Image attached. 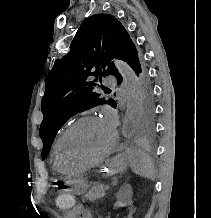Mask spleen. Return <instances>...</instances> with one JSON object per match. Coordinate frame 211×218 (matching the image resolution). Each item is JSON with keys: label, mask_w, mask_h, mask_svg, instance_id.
Masks as SVG:
<instances>
[{"label": "spleen", "mask_w": 211, "mask_h": 218, "mask_svg": "<svg viewBox=\"0 0 211 218\" xmlns=\"http://www.w3.org/2000/svg\"><path fill=\"white\" fill-rule=\"evenodd\" d=\"M129 166L138 176H143V178H148V180H154L155 172L152 160L148 154L144 152H127L126 154Z\"/></svg>", "instance_id": "1"}]
</instances>
